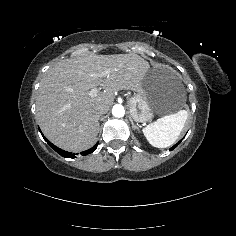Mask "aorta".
Wrapping results in <instances>:
<instances>
[{
  "instance_id": "obj_1",
  "label": "aorta",
  "mask_w": 236,
  "mask_h": 236,
  "mask_svg": "<svg viewBox=\"0 0 236 236\" xmlns=\"http://www.w3.org/2000/svg\"><path fill=\"white\" fill-rule=\"evenodd\" d=\"M112 114L114 117L120 118L123 117L125 114V110L121 105H115L112 109Z\"/></svg>"
}]
</instances>
